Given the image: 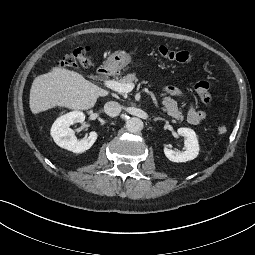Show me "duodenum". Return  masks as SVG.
I'll return each instance as SVG.
<instances>
[{
	"instance_id": "duodenum-1",
	"label": "duodenum",
	"mask_w": 255,
	"mask_h": 255,
	"mask_svg": "<svg viewBox=\"0 0 255 255\" xmlns=\"http://www.w3.org/2000/svg\"><path fill=\"white\" fill-rule=\"evenodd\" d=\"M98 77L104 78L109 76H114L115 74L107 67V65H103L98 69L97 72Z\"/></svg>"
}]
</instances>
